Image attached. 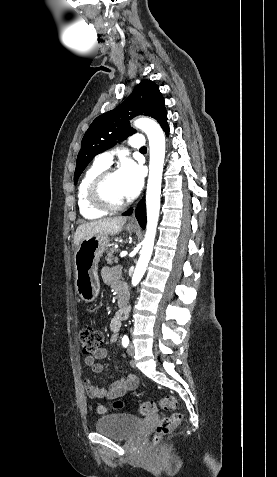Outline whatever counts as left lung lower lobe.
Returning a JSON list of instances; mask_svg holds the SVG:
<instances>
[{
    "instance_id": "left-lung-lower-lobe-1",
    "label": "left lung lower lobe",
    "mask_w": 277,
    "mask_h": 477,
    "mask_svg": "<svg viewBox=\"0 0 277 477\" xmlns=\"http://www.w3.org/2000/svg\"><path fill=\"white\" fill-rule=\"evenodd\" d=\"M162 128L166 132V135H168L169 126L167 122L162 126ZM132 212H133V209H130L126 211L125 213H123V215H130ZM135 216L138 219L140 226L144 229L146 227V208H145L144 200H142L138 204L137 209L135 211Z\"/></svg>"
}]
</instances>
